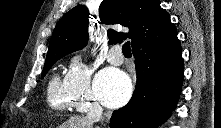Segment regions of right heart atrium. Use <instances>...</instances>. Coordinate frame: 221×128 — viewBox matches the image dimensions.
Instances as JSON below:
<instances>
[{
	"instance_id": "d8ad5b80",
	"label": "right heart atrium",
	"mask_w": 221,
	"mask_h": 128,
	"mask_svg": "<svg viewBox=\"0 0 221 128\" xmlns=\"http://www.w3.org/2000/svg\"><path fill=\"white\" fill-rule=\"evenodd\" d=\"M91 77L92 69L86 61L80 56L74 57L65 82L73 98V109L78 112H82L84 107L98 108L91 91Z\"/></svg>"
}]
</instances>
